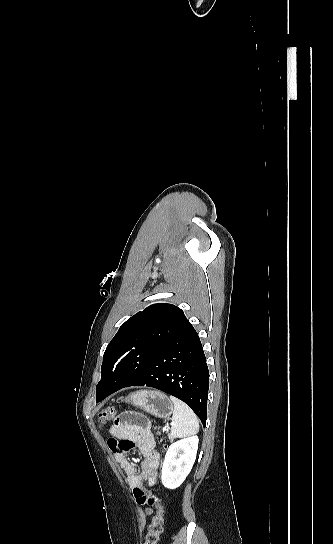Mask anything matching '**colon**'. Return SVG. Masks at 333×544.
Listing matches in <instances>:
<instances>
[{
    "mask_svg": "<svg viewBox=\"0 0 333 544\" xmlns=\"http://www.w3.org/2000/svg\"><path fill=\"white\" fill-rule=\"evenodd\" d=\"M115 415L113 407H106L98 413V421L100 424H105L110 421ZM148 506L155 509V515L152 518L149 526V532L146 536L144 544H156L162 532L164 509L162 505V496L160 491H155L145 498Z\"/></svg>",
    "mask_w": 333,
    "mask_h": 544,
    "instance_id": "5ec220e1",
    "label": "colon"
}]
</instances>
